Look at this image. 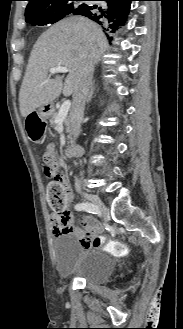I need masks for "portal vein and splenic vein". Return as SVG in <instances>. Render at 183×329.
<instances>
[{
    "label": "portal vein and splenic vein",
    "mask_w": 183,
    "mask_h": 329,
    "mask_svg": "<svg viewBox=\"0 0 183 329\" xmlns=\"http://www.w3.org/2000/svg\"><path fill=\"white\" fill-rule=\"evenodd\" d=\"M68 71H69V68L65 67V66L53 67L49 70L50 74H55L58 72H68ZM70 106H71L70 100H66L63 102V104L61 105V107L59 109L58 115L55 119L56 124L62 123L64 121V119L66 118V116L69 112Z\"/></svg>",
    "instance_id": "obj_1"
}]
</instances>
